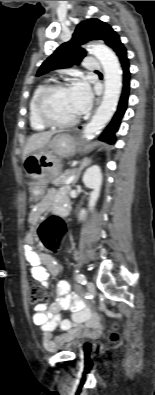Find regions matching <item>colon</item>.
<instances>
[{"mask_svg":"<svg viewBox=\"0 0 155 395\" xmlns=\"http://www.w3.org/2000/svg\"><path fill=\"white\" fill-rule=\"evenodd\" d=\"M61 222L62 215H47L46 220L37 228V235H39L41 242L47 251H53L54 255L58 254L59 246L57 243L61 241V235L66 234L67 224ZM45 300L46 292L44 288L35 280L29 281V302L31 304H39ZM119 339L120 335L117 330H113L109 334L110 342L116 343Z\"/></svg>","mask_w":155,"mask_h":395,"instance_id":"obj_1","label":"colon"}]
</instances>
